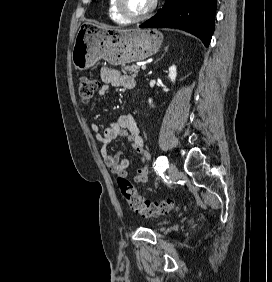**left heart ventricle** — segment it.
Segmentation results:
<instances>
[{"mask_svg": "<svg viewBox=\"0 0 272 282\" xmlns=\"http://www.w3.org/2000/svg\"><path fill=\"white\" fill-rule=\"evenodd\" d=\"M153 0H125V5L135 15L143 14L149 10Z\"/></svg>", "mask_w": 272, "mask_h": 282, "instance_id": "1", "label": "left heart ventricle"}]
</instances>
